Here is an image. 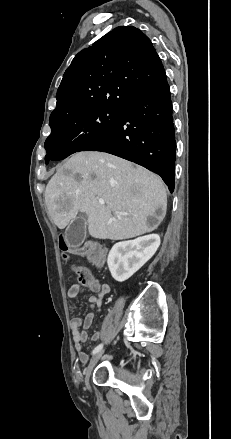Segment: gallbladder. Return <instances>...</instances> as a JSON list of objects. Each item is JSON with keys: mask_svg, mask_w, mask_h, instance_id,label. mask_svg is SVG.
Returning <instances> with one entry per match:
<instances>
[{"mask_svg": "<svg viewBox=\"0 0 231 439\" xmlns=\"http://www.w3.org/2000/svg\"><path fill=\"white\" fill-rule=\"evenodd\" d=\"M87 222L83 216L73 219L66 230V240L73 247H79L86 239Z\"/></svg>", "mask_w": 231, "mask_h": 439, "instance_id": "bac80fb5", "label": "gallbladder"}]
</instances>
